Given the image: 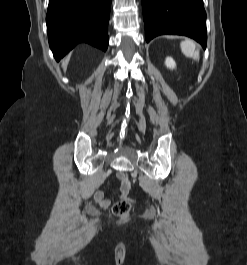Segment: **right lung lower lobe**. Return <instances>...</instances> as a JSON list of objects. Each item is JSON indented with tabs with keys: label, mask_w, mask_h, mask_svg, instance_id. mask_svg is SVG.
<instances>
[{
	"label": "right lung lower lobe",
	"mask_w": 247,
	"mask_h": 265,
	"mask_svg": "<svg viewBox=\"0 0 247 265\" xmlns=\"http://www.w3.org/2000/svg\"><path fill=\"white\" fill-rule=\"evenodd\" d=\"M110 6L111 0H49L46 23L55 58L82 42L106 51Z\"/></svg>",
	"instance_id": "98d812e1"
}]
</instances>
